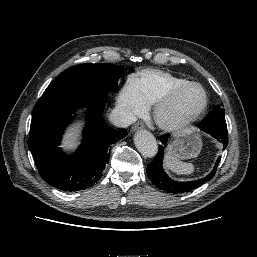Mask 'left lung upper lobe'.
I'll list each match as a JSON object with an SVG mask.
<instances>
[{"label": "left lung upper lobe", "mask_w": 257, "mask_h": 257, "mask_svg": "<svg viewBox=\"0 0 257 257\" xmlns=\"http://www.w3.org/2000/svg\"><path fill=\"white\" fill-rule=\"evenodd\" d=\"M200 126L214 128V129H226L225 121V111L221 109L218 105L214 107V110L211 111L200 123Z\"/></svg>", "instance_id": "left-lung-upper-lobe-1"}]
</instances>
